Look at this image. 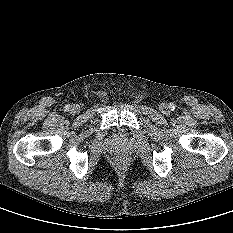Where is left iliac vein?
Instances as JSON below:
<instances>
[{"label":"left iliac vein","instance_id":"left-iliac-vein-1","mask_svg":"<svg viewBox=\"0 0 233 233\" xmlns=\"http://www.w3.org/2000/svg\"><path fill=\"white\" fill-rule=\"evenodd\" d=\"M160 110L163 112V113H167L168 112V106L166 104H161L160 105Z\"/></svg>","mask_w":233,"mask_h":233}]
</instances>
